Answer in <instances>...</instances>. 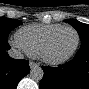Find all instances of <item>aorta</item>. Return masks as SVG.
<instances>
[{
    "mask_svg": "<svg viewBox=\"0 0 89 89\" xmlns=\"http://www.w3.org/2000/svg\"><path fill=\"white\" fill-rule=\"evenodd\" d=\"M29 76L34 81H40L44 76V72L41 67L36 65L31 68Z\"/></svg>",
    "mask_w": 89,
    "mask_h": 89,
    "instance_id": "1",
    "label": "aorta"
}]
</instances>
